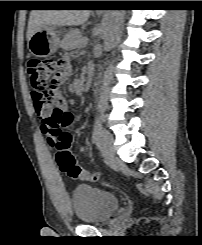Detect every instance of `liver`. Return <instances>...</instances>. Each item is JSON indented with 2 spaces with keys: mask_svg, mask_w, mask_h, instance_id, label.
Returning a JSON list of instances; mask_svg holds the SVG:
<instances>
[{
  "mask_svg": "<svg viewBox=\"0 0 202 245\" xmlns=\"http://www.w3.org/2000/svg\"><path fill=\"white\" fill-rule=\"evenodd\" d=\"M90 10H32L29 17L27 40L47 25L79 26L89 18Z\"/></svg>",
  "mask_w": 202,
  "mask_h": 245,
  "instance_id": "6515ba94",
  "label": "liver"
}]
</instances>
